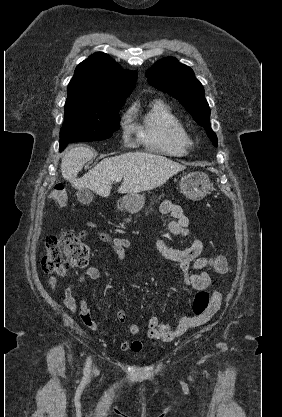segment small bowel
<instances>
[{
  "instance_id": "obj_1",
  "label": "small bowel",
  "mask_w": 282,
  "mask_h": 417,
  "mask_svg": "<svg viewBox=\"0 0 282 417\" xmlns=\"http://www.w3.org/2000/svg\"><path fill=\"white\" fill-rule=\"evenodd\" d=\"M160 212L163 215H170L173 218V220L167 225L168 231L175 236L189 238L190 244L185 248H174L167 245L164 239L158 236L154 241L156 251L165 260L178 264L185 285L197 291L207 289L211 282V277L206 270L210 261L207 257L201 255L203 242L192 236L189 230L188 216L185 214L180 205L169 200H165L161 203ZM89 234L96 235L101 241L109 245L117 260L123 261L126 258V252L131 246V242L128 239L111 236L106 231L99 228L96 224L86 222L84 229L79 232V236L84 237ZM101 277L102 274L98 268L89 267L79 277L76 283H71L66 286L64 289V305L71 313L77 312V304L73 296V290L76 286L81 284L86 279L99 280ZM48 283L52 289H57L55 277H49ZM221 304L222 295L219 292H213L209 308L204 314L200 316H181L178 318L174 327L161 323L157 316L152 315L147 322L146 335L151 340H166L167 342L172 341L181 336L188 329L200 327L207 323L218 312ZM84 309L89 310L86 301L83 299L81 301L79 311L81 320ZM116 319L121 323L125 322V311L117 310ZM83 323L92 330L108 335L107 328L104 326H97L91 320V315L90 319L83 321ZM139 331L140 327L137 324H129L126 326V332L130 336L138 334ZM120 349L123 352L138 353L142 350V342L138 339L129 338L121 342Z\"/></svg>"
}]
</instances>
